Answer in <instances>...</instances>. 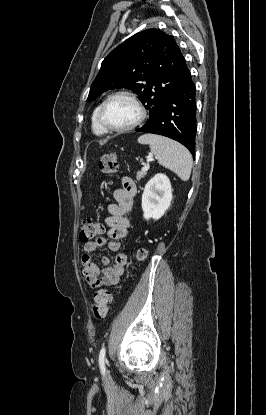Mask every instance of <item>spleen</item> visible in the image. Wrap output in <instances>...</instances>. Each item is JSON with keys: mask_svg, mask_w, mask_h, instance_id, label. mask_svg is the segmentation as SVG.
Wrapping results in <instances>:
<instances>
[{"mask_svg": "<svg viewBox=\"0 0 266 415\" xmlns=\"http://www.w3.org/2000/svg\"><path fill=\"white\" fill-rule=\"evenodd\" d=\"M138 142L150 146L151 153L160 165L173 171L182 181L189 180L193 161L183 145L154 134H144L138 138Z\"/></svg>", "mask_w": 266, "mask_h": 415, "instance_id": "3e777b00", "label": "spleen"}]
</instances>
